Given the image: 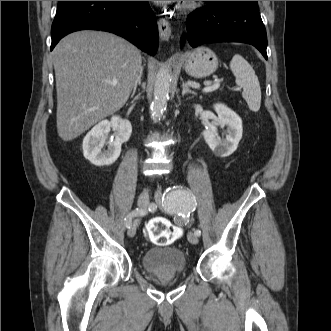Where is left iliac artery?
<instances>
[{
  "mask_svg": "<svg viewBox=\"0 0 331 331\" xmlns=\"http://www.w3.org/2000/svg\"><path fill=\"white\" fill-rule=\"evenodd\" d=\"M162 201L167 212L178 216L182 220H187L196 207L193 194L182 186H174L169 189ZM194 233L197 236L201 234L200 230H196Z\"/></svg>",
  "mask_w": 331,
  "mask_h": 331,
  "instance_id": "1",
  "label": "left iliac artery"
}]
</instances>
